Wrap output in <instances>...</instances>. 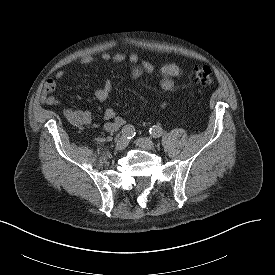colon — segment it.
Segmentation results:
<instances>
[{
    "label": "colon",
    "mask_w": 275,
    "mask_h": 275,
    "mask_svg": "<svg viewBox=\"0 0 275 275\" xmlns=\"http://www.w3.org/2000/svg\"><path fill=\"white\" fill-rule=\"evenodd\" d=\"M192 77L195 80V82L203 86H209L213 82V72L211 68L207 66L194 68L192 70Z\"/></svg>",
    "instance_id": "1"
}]
</instances>
